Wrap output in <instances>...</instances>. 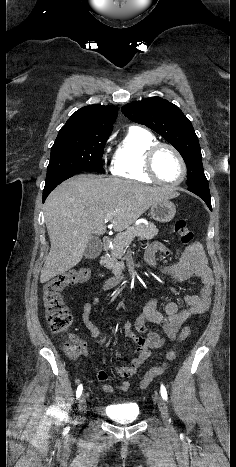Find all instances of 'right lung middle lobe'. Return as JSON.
<instances>
[{
	"instance_id": "right-lung-middle-lobe-1",
	"label": "right lung middle lobe",
	"mask_w": 236,
	"mask_h": 467,
	"mask_svg": "<svg viewBox=\"0 0 236 467\" xmlns=\"http://www.w3.org/2000/svg\"><path fill=\"white\" fill-rule=\"evenodd\" d=\"M109 135L60 131L51 148L46 179L71 171L102 173V156Z\"/></svg>"
}]
</instances>
